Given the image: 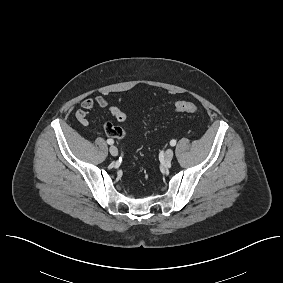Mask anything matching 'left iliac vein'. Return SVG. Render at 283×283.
I'll return each mask as SVG.
<instances>
[{
    "label": "left iliac vein",
    "instance_id": "1",
    "mask_svg": "<svg viewBox=\"0 0 283 283\" xmlns=\"http://www.w3.org/2000/svg\"><path fill=\"white\" fill-rule=\"evenodd\" d=\"M173 156H174V152H173L172 149L166 150V152H165V161L167 163H170L171 160L173 159Z\"/></svg>",
    "mask_w": 283,
    "mask_h": 283
}]
</instances>
